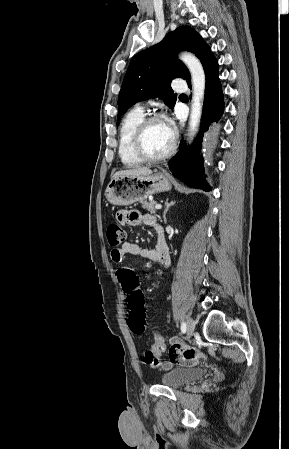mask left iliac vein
<instances>
[{"mask_svg": "<svg viewBox=\"0 0 289 449\" xmlns=\"http://www.w3.org/2000/svg\"><path fill=\"white\" fill-rule=\"evenodd\" d=\"M195 330V321L192 318H188L187 320V335L190 338Z\"/></svg>", "mask_w": 289, "mask_h": 449, "instance_id": "4c4485c4", "label": "left iliac vein"}]
</instances>
